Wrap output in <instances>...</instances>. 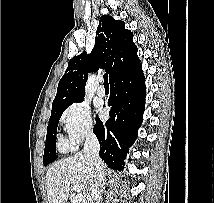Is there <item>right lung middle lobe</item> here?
Returning a JSON list of instances; mask_svg holds the SVG:
<instances>
[{"label": "right lung middle lobe", "instance_id": "right-lung-middle-lobe-1", "mask_svg": "<svg viewBox=\"0 0 214 203\" xmlns=\"http://www.w3.org/2000/svg\"><path fill=\"white\" fill-rule=\"evenodd\" d=\"M82 101L83 99L77 102H82ZM69 105L64 106L58 109L57 111L51 113V116L49 119V125L47 127L46 143H45L44 156H43V161L45 166H47L48 163H51L57 159V155H56L57 126L62 113Z\"/></svg>", "mask_w": 214, "mask_h": 203}]
</instances>
